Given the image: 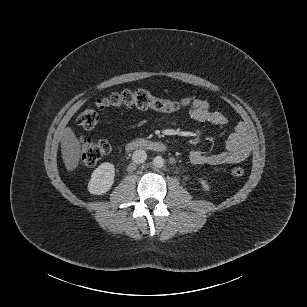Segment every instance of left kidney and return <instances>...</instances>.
Segmentation results:
<instances>
[{
	"mask_svg": "<svg viewBox=\"0 0 307 307\" xmlns=\"http://www.w3.org/2000/svg\"><path fill=\"white\" fill-rule=\"evenodd\" d=\"M198 180H199L200 184L202 185L203 191L210 193L211 186L209 185L208 181L203 177L198 178Z\"/></svg>",
	"mask_w": 307,
	"mask_h": 307,
	"instance_id": "1",
	"label": "left kidney"
}]
</instances>
